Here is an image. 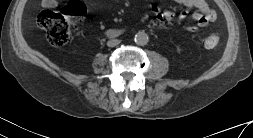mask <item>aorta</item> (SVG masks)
Instances as JSON below:
<instances>
[{
  "mask_svg": "<svg viewBox=\"0 0 253 138\" xmlns=\"http://www.w3.org/2000/svg\"><path fill=\"white\" fill-rule=\"evenodd\" d=\"M134 41L136 44L144 46L148 43L149 37L145 32L141 31L135 34Z\"/></svg>",
  "mask_w": 253,
  "mask_h": 138,
  "instance_id": "obj_1",
  "label": "aorta"
}]
</instances>
